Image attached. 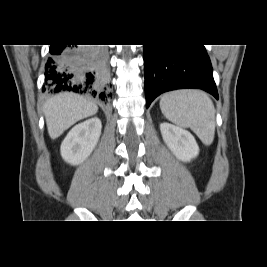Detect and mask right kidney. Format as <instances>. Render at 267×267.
<instances>
[{"label": "right kidney", "instance_id": "obj_1", "mask_svg": "<svg viewBox=\"0 0 267 267\" xmlns=\"http://www.w3.org/2000/svg\"><path fill=\"white\" fill-rule=\"evenodd\" d=\"M102 124L94 117L74 126L61 144V156L69 164L84 162L97 145Z\"/></svg>", "mask_w": 267, "mask_h": 267}]
</instances>
